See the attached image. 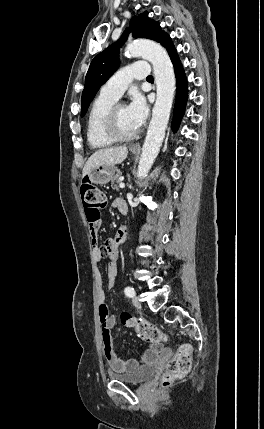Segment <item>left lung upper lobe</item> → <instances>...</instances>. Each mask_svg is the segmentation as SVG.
Listing matches in <instances>:
<instances>
[{"instance_id":"1","label":"left lung upper lobe","mask_w":264,"mask_h":429,"mask_svg":"<svg viewBox=\"0 0 264 429\" xmlns=\"http://www.w3.org/2000/svg\"><path fill=\"white\" fill-rule=\"evenodd\" d=\"M144 12L132 17L130 28L126 29L120 41L106 48L92 60L85 78V87L82 93L81 117L85 115L90 102L95 97L97 91L104 84L119 66L118 53L120 46L125 42L129 32H133L135 38H147L160 42L166 34L161 31L159 23L147 17Z\"/></svg>"}]
</instances>
